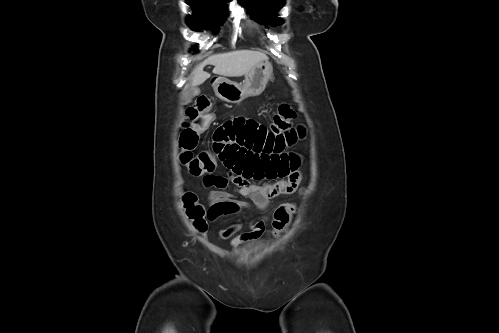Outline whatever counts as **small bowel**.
Returning <instances> with one entry per match:
<instances>
[{"instance_id": "1", "label": "small bowel", "mask_w": 499, "mask_h": 333, "mask_svg": "<svg viewBox=\"0 0 499 333\" xmlns=\"http://www.w3.org/2000/svg\"><path fill=\"white\" fill-rule=\"evenodd\" d=\"M300 127L276 134L256 120L243 117L223 123L213 135L212 154L228 170L227 176L208 174L203 178L209 193L208 217L214 220L232 215L241 209L250 210L249 199L261 212L269 209L270 201L294 193L302 180L300 157L289 148L303 135ZM280 179L274 183L265 180ZM231 184L233 192L227 190ZM266 218L260 216L251 230L239 233L233 225L218 230L221 239H230L233 246L257 239L264 230Z\"/></svg>"}]
</instances>
